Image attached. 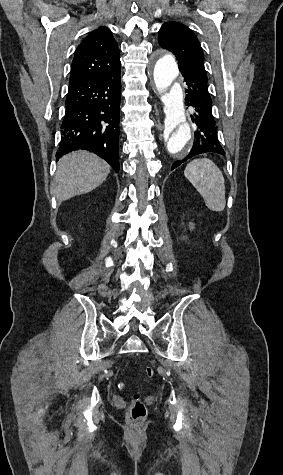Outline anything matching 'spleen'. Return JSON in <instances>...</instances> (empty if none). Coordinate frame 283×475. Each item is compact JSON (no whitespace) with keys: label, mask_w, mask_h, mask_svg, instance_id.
Segmentation results:
<instances>
[{"label":"spleen","mask_w":283,"mask_h":475,"mask_svg":"<svg viewBox=\"0 0 283 475\" xmlns=\"http://www.w3.org/2000/svg\"><path fill=\"white\" fill-rule=\"evenodd\" d=\"M184 176L201 194L209 210L223 212L226 206L225 180L212 160L208 158L192 160L186 166Z\"/></svg>","instance_id":"spleen-1"}]
</instances>
